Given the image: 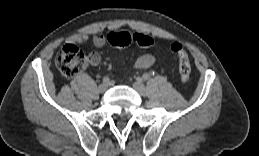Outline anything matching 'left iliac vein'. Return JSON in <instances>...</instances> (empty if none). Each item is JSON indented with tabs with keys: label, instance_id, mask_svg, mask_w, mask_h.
<instances>
[{
	"label": "left iliac vein",
	"instance_id": "1",
	"mask_svg": "<svg viewBox=\"0 0 259 156\" xmlns=\"http://www.w3.org/2000/svg\"><path fill=\"white\" fill-rule=\"evenodd\" d=\"M133 88L140 94V95H145L146 93V88L144 84L141 81H136L133 83Z\"/></svg>",
	"mask_w": 259,
	"mask_h": 156
}]
</instances>
